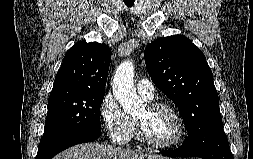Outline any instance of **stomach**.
<instances>
[{
	"label": "stomach",
	"instance_id": "stomach-1",
	"mask_svg": "<svg viewBox=\"0 0 253 159\" xmlns=\"http://www.w3.org/2000/svg\"><path fill=\"white\" fill-rule=\"evenodd\" d=\"M146 159H162V158L152 157V158H146Z\"/></svg>",
	"mask_w": 253,
	"mask_h": 159
}]
</instances>
